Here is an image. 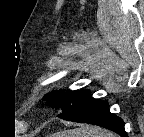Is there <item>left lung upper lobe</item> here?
<instances>
[{"instance_id": "5c2ea615", "label": "left lung upper lobe", "mask_w": 144, "mask_h": 137, "mask_svg": "<svg viewBox=\"0 0 144 137\" xmlns=\"http://www.w3.org/2000/svg\"><path fill=\"white\" fill-rule=\"evenodd\" d=\"M84 91H67L66 93L60 91H53L47 94L46 100L49 105L55 108L65 109L71 105Z\"/></svg>"}]
</instances>
